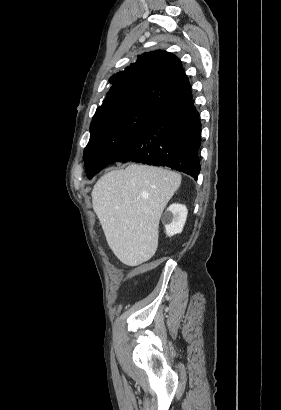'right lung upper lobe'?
Segmentation results:
<instances>
[{
	"instance_id": "cb5924a9",
	"label": "right lung upper lobe",
	"mask_w": 281,
	"mask_h": 410,
	"mask_svg": "<svg viewBox=\"0 0 281 410\" xmlns=\"http://www.w3.org/2000/svg\"><path fill=\"white\" fill-rule=\"evenodd\" d=\"M103 104L107 107L145 103L164 109L191 94L181 61L163 50L144 53L124 71L114 74Z\"/></svg>"
}]
</instances>
